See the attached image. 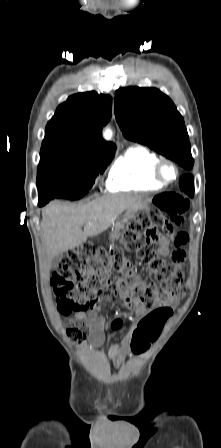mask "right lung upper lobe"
<instances>
[{"label":"right lung upper lobe","mask_w":221,"mask_h":448,"mask_svg":"<svg viewBox=\"0 0 221 448\" xmlns=\"http://www.w3.org/2000/svg\"><path fill=\"white\" fill-rule=\"evenodd\" d=\"M111 108L109 95L91 91L70 96L48 122L41 150L68 148L88 155L114 153L115 145L102 138V126L110 120Z\"/></svg>","instance_id":"right-lung-upper-lobe-1"}]
</instances>
